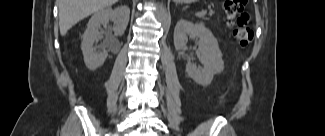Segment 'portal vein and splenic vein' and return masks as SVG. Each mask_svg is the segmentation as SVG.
<instances>
[{
  "instance_id": "18ae733b",
  "label": "portal vein and splenic vein",
  "mask_w": 325,
  "mask_h": 136,
  "mask_svg": "<svg viewBox=\"0 0 325 136\" xmlns=\"http://www.w3.org/2000/svg\"><path fill=\"white\" fill-rule=\"evenodd\" d=\"M196 15H197V16H203V15H205V12H204V11L197 12Z\"/></svg>"
}]
</instances>
